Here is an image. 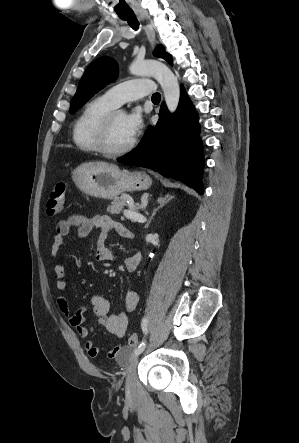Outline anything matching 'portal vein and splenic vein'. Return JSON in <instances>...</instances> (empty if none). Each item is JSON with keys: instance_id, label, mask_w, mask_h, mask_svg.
<instances>
[{"instance_id": "18ae733b", "label": "portal vein and splenic vein", "mask_w": 299, "mask_h": 443, "mask_svg": "<svg viewBox=\"0 0 299 443\" xmlns=\"http://www.w3.org/2000/svg\"><path fill=\"white\" fill-rule=\"evenodd\" d=\"M124 215L127 218L140 223H144L146 221V219L141 214L134 212L132 209L124 210Z\"/></svg>"}]
</instances>
